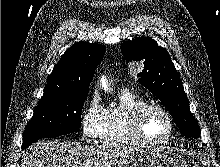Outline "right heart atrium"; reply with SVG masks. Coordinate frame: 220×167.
Masks as SVG:
<instances>
[{
	"mask_svg": "<svg viewBox=\"0 0 220 167\" xmlns=\"http://www.w3.org/2000/svg\"><path fill=\"white\" fill-rule=\"evenodd\" d=\"M105 114L106 110L100 103L99 95L92 93L84 105L81 116L82 136L85 141H93L100 137Z\"/></svg>",
	"mask_w": 220,
	"mask_h": 167,
	"instance_id": "d8ad5b80",
	"label": "right heart atrium"
}]
</instances>
